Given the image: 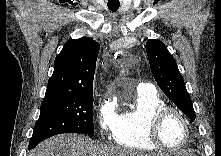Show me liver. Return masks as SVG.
I'll list each match as a JSON object with an SVG mask.
<instances>
[{
	"label": "liver",
	"mask_w": 221,
	"mask_h": 156,
	"mask_svg": "<svg viewBox=\"0 0 221 156\" xmlns=\"http://www.w3.org/2000/svg\"><path fill=\"white\" fill-rule=\"evenodd\" d=\"M29 156H151L111 145H99L79 134H62L40 143Z\"/></svg>",
	"instance_id": "1"
}]
</instances>
